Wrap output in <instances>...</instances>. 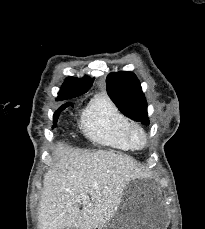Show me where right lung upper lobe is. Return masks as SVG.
<instances>
[{
    "mask_svg": "<svg viewBox=\"0 0 205 229\" xmlns=\"http://www.w3.org/2000/svg\"><path fill=\"white\" fill-rule=\"evenodd\" d=\"M93 81L94 78L90 79L89 77L82 79L67 78L58 93L57 100L72 99L86 93L91 88Z\"/></svg>",
    "mask_w": 205,
    "mask_h": 229,
    "instance_id": "obj_1",
    "label": "right lung upper lobe"
}]
</instances>
